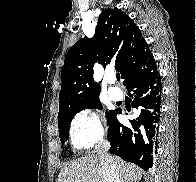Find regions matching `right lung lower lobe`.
<instances>
[{"instance_id": "right-lung-lower-lobe-1", "label": "right lung lower lobe", "mask_w": 196, "mask_h": 182, "mask_svg": "<svg viewBox=\"0 0 196 182\" xmlns=\"http://www.w3.org/2000/svg\"><path fill=\"white\" fill-rule=\"evenodd\" d=\"M124 85L133 92L132 106L140 113L129 120V126H124L116 118L121 111L115 110L108 127L110 153L147 171L153 165L162 98V84L154 57L135 71Z\"/></svg>"}]
</instances>
